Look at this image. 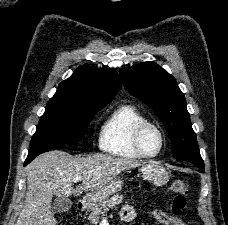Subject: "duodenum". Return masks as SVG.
I'll list each match as a JSON object with an SVG mask.
<instances>
[{"label":"duodenum","instance_id":"obj_1","mask_svg":"<svg viewBox=\"0 0 228 225\" xmlns=\"http://www.w3.org/2000/svg\"><path fill=\"white\" fill-rule=\"evenodd\" d=\"M92 202V196L80 199L77 203V210L83 212Z\"/></svg>","mask_w":228,"mask_h":225}]
</instances>
